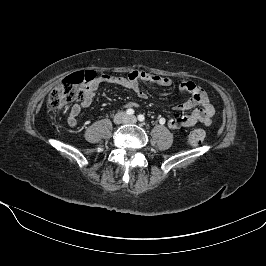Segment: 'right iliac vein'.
I'll list each match as a JSON object with an SVG mask.
<instances>
[{"mask_svg":"<svg viewBox=\"0 0 266 266\" xmlns=\"http://www.w3.org/2000/svg\"><path fill=\"white\" fill-rule=\"evenodd\" d=\"M127 120V117L124 113H118L115 117H114V122L116 124H121L124 123Z\"/></svg>","mask_w":266,"mask_h":266,"instance_id":"right-iliac-vein-1","label":"right iliac vein"}]
</instances>
